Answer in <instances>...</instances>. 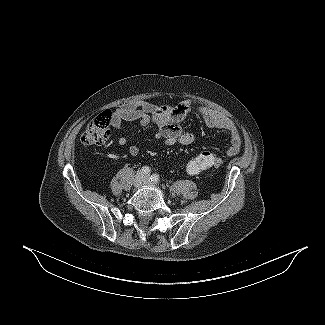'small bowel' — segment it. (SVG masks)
<instances>
[{
    "instance_id": "c3829d8e",
    "label": "small bowel",
    "mask_w": 325,
    "mask_h": 325,
    "mask_svg": "<svg viewBox=\"0 0 325 325\" xmlns=\"http://www.w3.org/2000/svg\"><path fill=\"white\" fill-rule=\"evenodd\" d=\"M194 107V103L189 100L176 105H157L147 101L128 103L114 113L112 126L120 130L124 121L134 122L132 129L144 128L150 124H155L157 126L156 138L164 140L166 144L191 145L195 142L196 137L192 133L185 132L181 127V123ZM197 111L208 127L229 132L231 136V143L228 149L229 154H235L240 150L241 138L236 126L231 120L219 112L206 107H199ZM118 144L125 146L127 139L120 137ZM139 152V147L135 145L128 147V153L132 156L138 155ZM217 162L218 160H216ZM192 164L193 162L190 160L186 164L185 170L188 174L195 175L189 172Z\"/></svg>"
}]
</instances>
